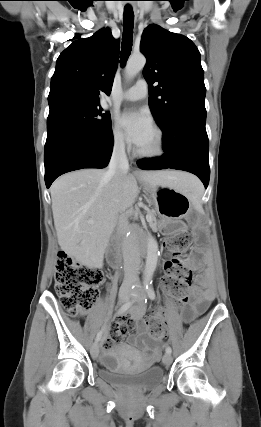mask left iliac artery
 I'll return each instance as SVG.
<instances>
[{
	"mask_svg": "<svg viewBox=\"0 0 261 427\" xmlns=\"http://www.w3.org/2000/svg\"><path fill=\"white\" fill-rule=\"evenodd\" d=\"M146 289H147V293H148L149 298H150L151 300H154V299L156 298V295H155V292H154L153 288H152L151 286H148V285H147ZM145 303H146V299H145ZM171 352H172L171 347H170V346H167V347H166V353L171 354Z\"/></svg>",
	"mask_w": 261,
	"mask_h": 427,
	"instance_id": "1",
	"label": "left iliac artery"
}]
</instances>
